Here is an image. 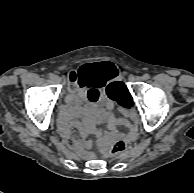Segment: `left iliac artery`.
I'll return each mask as SVG.
<instances>
[{
    "label": "left iliac artery",
    "instance_id": "1",
    "mask_svg": "<svg viewBox=\"0 0 194 193\" xmlns=\"http://www.w3.org/2000/svg\"><path fill=\"white\" fill-rule=\"evenodd\" d=\"M143 78H144V80H148L150 78V75L146 73L143 75Z\"/></svg>",
    "mask_w": 194,
    "mask_h": 193
}]
</instances>
